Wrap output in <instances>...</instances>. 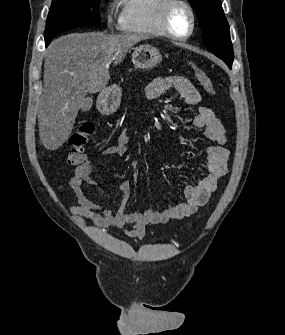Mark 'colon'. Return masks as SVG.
<instances>
[{
    "label": "colon",
    "instance_id": "colon-1",
    "mask_svg": "<svg viewBox=\"0 0 285 335\" xmlns=\"http://www.w3.org/2000/svg\"><path fill=\"white\" fill-rule=\"evenodd\" d=\"M195 77L203 88L211 95L216 94L215 87L210 78L196 65H190ZM95 131V125L92 122H84L70 136V150L68 152V163L80 166L87 162L85 146L90 141Z\"/></svg>",
    "mask_w": 285,
    "mask_h": 335
}]
</instances>
